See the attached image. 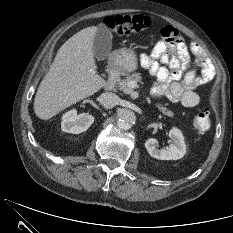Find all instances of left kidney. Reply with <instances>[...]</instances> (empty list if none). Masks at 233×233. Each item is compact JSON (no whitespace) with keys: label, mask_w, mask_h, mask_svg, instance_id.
Segmentation results:
<instances>
[{"label":"left kidney","mask_w":233,"mask_h":233,"mask_svg":"<svg viewBox=\"0 0 233 233\" xmlns=\"http://www.w3.org/2000/svg\"><path fill=\"white\" fill-rule=\"evenodd\" d=\"M169 137L171 138V144L166 149H158V140L155 138H149L145 142V148L150 156L159 160H178L181 159L186 153V144L184 136L178 128H172L169 131Z\"/></svg>","instance_id":"1"}]
</instances>
